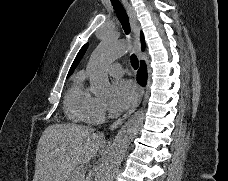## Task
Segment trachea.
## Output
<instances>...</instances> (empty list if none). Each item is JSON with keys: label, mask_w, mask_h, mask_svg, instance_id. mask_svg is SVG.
<instances>
[{"label": "trachea", "mask_w": 228, "mask_h": 181, "mask_svg": "<svg viewBox=\"0 0 228 181\" xmlns=\"http://www.w3.org/2000/svg\"><path fill=\"white\" fill-rule=\"evenodd\" d=\"M111 3L119 19V22L122 25V28L125 34L128 35L130 33V23H129V18L126 13V10L124 9L123 5L120 3V0H111ZM130 62L134 70H137L139 67V61L137 59V56L134 55V53L130 57Z\"/></svg>", "instance_id": "trachea-1"}]
</instances>
